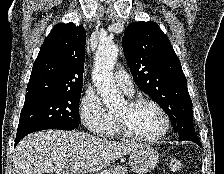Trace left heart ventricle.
I'll use <instances>...</instances> for the list:
<instances>
[{
    "label": "left heart ventricle",
    "instance_id": "left-heart-ventricle-1",
    "mask_svg": "<svg viewBox=\"0 0 224 174\" xmlns=\"http://www.w3.org/2000/svg\"><path fill=\"white\" fill-rule=\"evenodd\" d=\"M115 115L123 119L132 132L143 137H152L161 132L163 119L157 109L147 103L130 109L124 102Z\"/></svg>",
    "mask_w": 224,
    "mask_h": 174
}]
</instances>
